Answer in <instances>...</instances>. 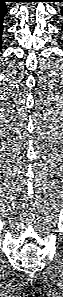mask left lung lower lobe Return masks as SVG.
I'll return each instance as SVG.
<instances>
[{
  "label": "left lung lower lobe",
  "instance_id": "0a47b994",
  "mask_svg": "<svg viewBox=\"0 0 63 297\" xmlns=\"http://www.w3.org/2000/svg\"><path fill=\"white\" fill-rule=\"evenodd\" d=\"M58 2H63V0H59ZM61 14H62V16H63V6H62V8H61ZM62 30H63V26H62Z\"/></svg>",
  "mask_w": 63,
  "mask_h": 297
}]
</instances>
